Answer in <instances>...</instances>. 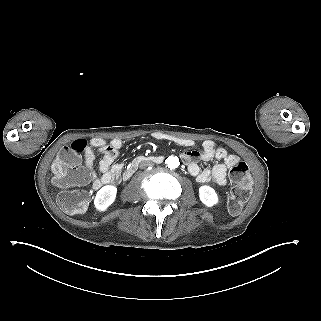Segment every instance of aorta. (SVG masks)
<instances>
[{
  "label": "aorta",
  "instance_id": "aorta-1",
  "mask_svg": "<svg viewBox=\"0 0 321 321\" xmlns=\"http://www.w3.org/2000/svg\"><path fill=\"white\" fill-rule=\"evenodd\" d=\"M180 162L179 159L177 157H168L166 160V165L170 168V169H175L179 166Z\"/></svg>",
  "mask_w": 321,
  "mask_h": 321
}]
</instances>
